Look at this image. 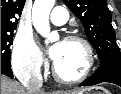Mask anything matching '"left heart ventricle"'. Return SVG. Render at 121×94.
<instances>
[{"label": "left heart ventricle", "mask_w": 121, "mask_h": 94, "mask_svg": "<svg viewBox=\"0 0 121 94\" xmlns=\"http://www.w3.org/2000/svg\"><path fill=\"white\" fill-rule=\"evenodd\" d=\"M86 54L78 42H62L58 58L54 61L58 72L66 78L79 75L85 66Z\"/></svg>", "instance_id": "1"}]
</instances>
